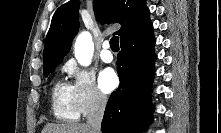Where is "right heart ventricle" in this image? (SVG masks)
<instances>
[{
  "label": "right heart ventricle",
  "instance_id": "obj_1",
  "mask_svg": "<svg viewBox=\"0 0 221 133\" xmlns=\"http://www.w3.org/2000/svg\"><path fill=\"white\" fill-rule=\"evenodd\" d=\"M51 106L54 116L61 121H76L79 119L72 86L58 81L52 88Z\"/></svg>",
  "mask_w": 221,
  "mask_h": 133
}]
</instances>
